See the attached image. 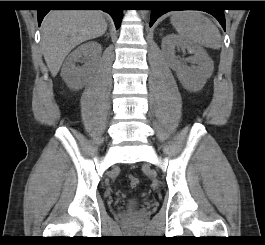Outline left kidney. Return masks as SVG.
<instances>
[{
    "label": "left kidney",
    "instance_id": "left-kidney-1",
    "mask_svg": "<svg viewBox=\"0 0 265 245\" xmlns=\"http://www.w3.org/2000/svg\"><path fill=\"white\" fill-rule=\"evenodd\" d=\"M162 51L173 70L176 71L180 83L190 92L200 91L212 75L214 64L207 52L199 45L185 40L176 34H169L162 39ZM187 49L192 53L188 67L176 56V50Z\"/></svg>",
    "mask_w": 265,
    "mask_h": 245
}]
</instances>
